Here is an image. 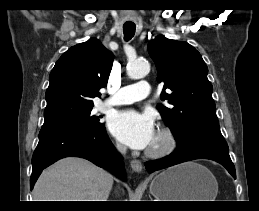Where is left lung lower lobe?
Masks as SVG:
<instances>
[{
  "mask_svg": "<svg viewBox=\"0 0 259 211\" xmlns=\"http://www.w3.org/2000/svg\"><path fill=\"white\" fill-rule=\"evenodd\" d=\"M210 159L223 165L236 178L235 167L229 156L228 145L223 136L207 133L194 135L177 148L169 156L148 161L145 167L149 173L194 159Z\"/></svg>",
  "mask_w": 259,
  "mask_h": 211,
  "instance_id": "left-lung-lower-lobe-1",
  "label": "left lung lower lobe"
}]
</instances>
